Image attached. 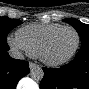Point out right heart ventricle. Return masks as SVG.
Masks as SVG:
<instances>
[{
    "mask_svg": "<svg viewBox=\"0 0 89 89\" xmlns=\"http://www.w3.org/2000/svg\"><path fill=\"white\" fill-rule=\"evenodd\" d=\"M60 27H62L60 24H29L18 30L17 37L30 55L38 56L47 36Z\"/></svg>",
    "mask_w": 89,
    "mask_h": 89,
    "instance_id": "e07e8e85",
    "label": "right heart ventricle"
}]
</instances>
